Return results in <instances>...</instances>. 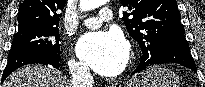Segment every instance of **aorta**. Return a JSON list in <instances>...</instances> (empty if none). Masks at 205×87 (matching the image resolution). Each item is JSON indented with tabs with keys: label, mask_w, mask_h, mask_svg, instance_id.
<instances>
[{
	"label": "aorta",
	"mask_w": 205,
	"mask_h": 87,
	"mask_svg": "<svg viewBox=\"0 0 205 87\" xmlns=\"http://www.w3.org/2000/svg\"><path fill=\"white\" fill-rule=\"evenodd\" d=\"M106 3V0H80V9L90 11Z\"/></svg>",
	"instance_id": "762f6f07"
}]
</instances>
